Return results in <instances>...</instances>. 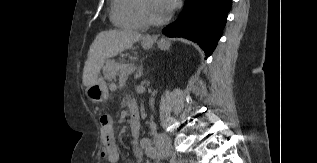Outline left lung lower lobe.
Returning <instances> with one entry per match:
<instances>
[{
    "label": "left lung lower lobe",
    "mask_w": 317,
    "mask_h": 163,
    "mask_svg": "<svg viewBox=\"0 0 317 163\" xmlns=\"http://www.w3.org/2000/svg\"><path fill=\"white\" fill-rule=\"evenodd\" d=\"M231 5L232 0H187L179 18L162 32L197 42L210 56L222 36Z\"/></svg>",
    "instance_id": "left-lung-lower-lobe-1"
}]
</instances>
